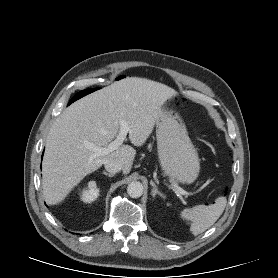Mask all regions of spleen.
<instances>
[{"label":"spleen","mask_w":278,"mask_h":278,"mask_svg":"<svg viewBox=\"0 0 278 278\" xmlns=\"http://www.w3.org/2000/svg\"><path fill=\"white\" fill-rule=\"evenodd\" d=\"M227 199L221 196L216 199L215 204L205 206L197 205L191 209H184L181 216L192 222L191 232L193 235H198L211 227L226 207Z\"/></svg>","instance_id":"3e777b00"}]
</instances>
